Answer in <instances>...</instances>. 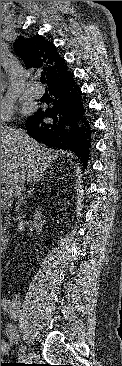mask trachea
<instances>
[{
	"instance_id": "trachea-1",
	"label": "trachea",
	"mask_w": 122,
	"mask_h": 366,
	"mask_svg": "<svg viewBox=\"0 0 122 366\" xmlns=\"http://www.w3.org/2000/svg\"><path fill=\"white\" fill-rule=\"evenodd\" d=\"M40 81H41V83H46V77L45 76H42L41 78H40Z\"/></svg>"
}]
</instances>
